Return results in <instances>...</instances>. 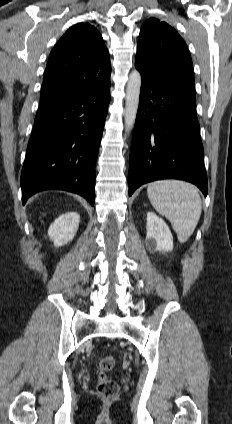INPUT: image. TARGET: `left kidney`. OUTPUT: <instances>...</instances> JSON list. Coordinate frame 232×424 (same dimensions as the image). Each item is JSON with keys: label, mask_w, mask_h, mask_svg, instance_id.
<instances>
[{"label": "left kidney", "mask_w": 232, "mask_h": 424, "mask_svg": "<svg viewBox=\"0 0 232 424\" xmlns=\"http://www.w3.org/2000/svg\"><path fill=\"white\" fill-rule=\"evenodd\" d=\"M146 247L152 251L169 252L173 237L167 224L153 212L147 213Z\"/></svg>", "instance_id": "obj_1"}]
</instances>
